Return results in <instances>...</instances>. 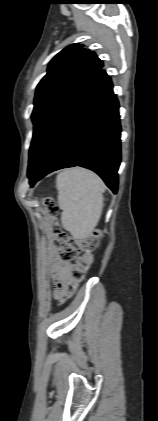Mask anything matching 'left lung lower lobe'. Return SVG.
Listing matches in <instances>:
<instances>
[{
    "mask_svg": "<svg viewBox=\"0 0 158 421\" xmlns=\"http://www.w3.org/2000/svg\"><path fill=\"white\" fill-rule=\"evenodd\" d=\"M119 104L105 70L96 72L65 104L29 161L30 185L62 168L96 172L114 192L121 162Z\"/></svg>",
    "mask_w": 158,
    "mask_h": 421,
    "instance_id": "1",
    "label": "left lung lower lobe"
}]
</instances>
